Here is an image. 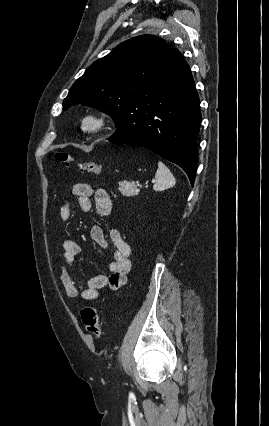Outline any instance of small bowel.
Here are the masks:
<instances>
[{
	"mask_svg": "<svg viewBox=\"0 0 269 426\" xmlns=\"http://www.w3.org/2000/svg\"><path fill=\"white\" fill-rule=\"evenodd\" d=\"M72 194L77 200L79 209L89 212L92 209V198L96 210L101 216H108L112 209V200L105 189H94L86 183H76L72 188ZM63 221L72 218V205L66 202L60 210ZM91 239L101 248H106L108 243L103 229L95 225L90 230ZM110 237L114 245V260L108 272L90 277L85 285H77L72 266L77 255L81 251L80 244L74 239H66L62 242L63 262L60 265V281L66 296L75 299L80 296L83 300L92 301L100 297L104 289L116 291L120 289L127 279L131 270V249L123 239L121 233L113 229Z\"/></svg>",
	"mask_w": 269,
	"mask_h": 426,
	"instance_id": "c3829d8e",
	"label": "small bowel"
}]
</instances>
